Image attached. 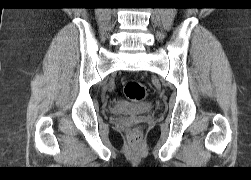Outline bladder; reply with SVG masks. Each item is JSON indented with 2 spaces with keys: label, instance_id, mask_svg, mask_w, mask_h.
<instances>
[{
  "label": "bladder",
  "instance_id": "obj_1",
  "mask_svg": "<svg viewBox=\"0 0 251 180\" xmlns=\"http://www.w3.org/2000/svg\"><path fill=\"white\" fill-rule=\"evenodd\" d=\"M152 110V105L150 103H129L125 101L117 102L113 108L112 112L115 114H128L137 115L146 113Z\"/></svg>",
  "mask_w": 251,
  "mask_h": 180
}]
</instances>
